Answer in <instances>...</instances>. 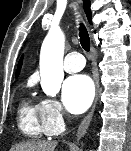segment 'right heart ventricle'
<instances>
[{
    "label": "right heart ventricle",
    "instance_id": "e07e8e85",
    "mask_svg": "<svg viewBox=\"0 0 131 151\" xmlns=\"http://www.w3.org/2000/svg\"><path fill=\"white\" fill-rule=\"evenodd\" d=\"M18 124L23 134L32 138H40L49 135L41 112V103L30 98H23L18 111Z\"/></svg>",
    "mask_w": 131,
    "mask_h": 151
}]
</instances>
